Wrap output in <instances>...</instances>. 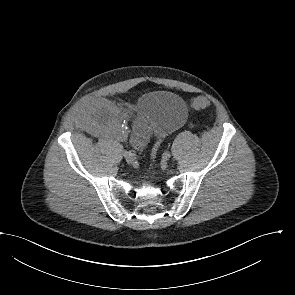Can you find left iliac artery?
<instances>
[{"label": "left iliac artery", "mask_w": 295, "mask_h": 295, "mask_svg": "<svg viewBox=\"0 0 295 295\" xmlns=\"http://www.w3.org/2000/svg\"><path fill=\"white\" fill-rule=\"evenodd\" d=\"M171 155H170V153L169 152H165L164 153V157H167V158H169Z\"/></svg>", "instance_id": "44dca946"}]
</instances>
